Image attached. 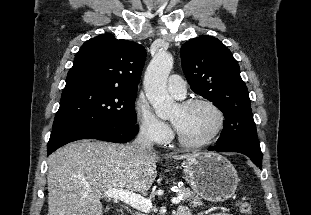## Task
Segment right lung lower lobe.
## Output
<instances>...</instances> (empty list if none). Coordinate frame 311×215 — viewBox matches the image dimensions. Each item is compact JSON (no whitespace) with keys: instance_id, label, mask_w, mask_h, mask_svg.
I'll list each match as a JSON object with an SVG mask.
<instances>
[{"instance_id":"right-lung-lower-lobe-1","label":"right lung lower lobe","mask_w":311,"mask_h":215,"mask_svg":"<svg viewBox=\"0 0 311 215\" xmlns=\"http://www.w3.org/2000/svg\"><path fill=\"white\" fill-rule=\"evenodd\" d=\"M138 125L129 128L102 126H70L52 130L47 154L50 155L59 147L80 139L94 138L98 140L126 143L133 139L138 132Z\"/></svg>"}]
</instances>
